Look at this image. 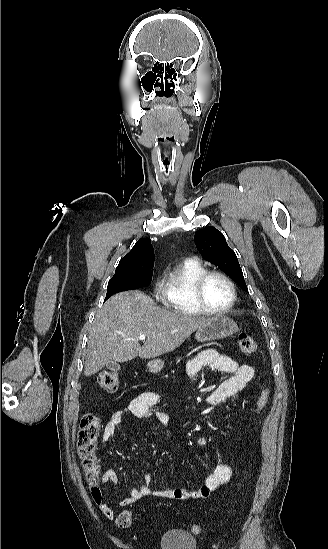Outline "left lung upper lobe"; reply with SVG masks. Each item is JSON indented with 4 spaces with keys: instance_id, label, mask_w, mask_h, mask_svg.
Returning a JSON list of instances; mask_svg holds the SVG:
<instances>
[{
    "instance_id": "5c2ea615",
    "label": "left lung upper lobe",
    "mask_w": 328,
    "mask_h": 549,
    "mask_svg": "<svg viewBox=\"0 0 328 549\" xmlns=\"http://www.w3.org/2000/svg\"><path fill=\"white\" fill-rule=\"evenodd\" d=\"M195 244L204 258L224 271L242 290L248 291L237 256L219 230L214 227L198 230Z\"/></svg>"
}]
</instances>
